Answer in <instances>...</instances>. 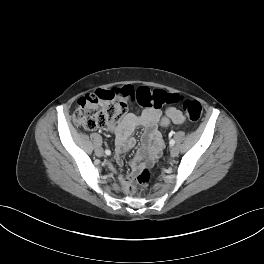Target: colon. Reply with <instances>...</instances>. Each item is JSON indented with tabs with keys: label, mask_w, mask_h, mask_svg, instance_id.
Masks as SVG:
<instances>
[{
	"label": "colon",
	"mask_w": 264,
	"mask_h": 264,
	"mask_svg": "<svg viewBox=\"0 0 264 264\" xmlns=\"http://www.w3.org/2000/svg\"><path fill=\"white\" fill-rule=\"evenodd\" d=\"M181 100V96L161 89L145 86L134 88L125 85L112 90H98L80 98L73 112L74 123L86 130H96L118 122L126 112L129 102L148 109H165ZM183 110L191 121H198L202 115L200 102L193 99L183 100ZM151 178L149 170L138 172L133 181L134 189L145 188Z\"/></svg>",
	"instance_id": "colon-1"
}]
</instances>
